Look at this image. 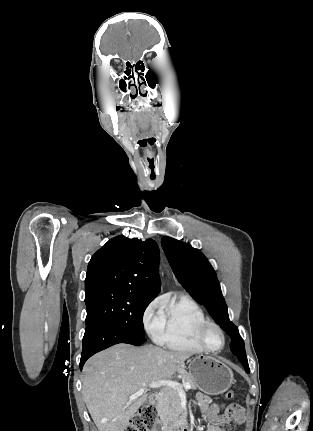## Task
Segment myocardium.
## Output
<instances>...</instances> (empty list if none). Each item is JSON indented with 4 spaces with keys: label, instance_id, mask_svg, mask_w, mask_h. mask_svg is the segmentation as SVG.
I'll return each mask as SVG.
<instances>
[{
    "label": "myocardium",
    "instance_id": "myocardium-1",
    "mask_svg": "<svg viewBox=\"0 0 313 431\" xmlns=\"http://www.w3.org/2000/svg\"><path fill=\"white\" fill-rule=\"evenodd\" d=\"M209 327H214L215 329H217L218 330V332L220 333V335H221V338H222V344H221V346L219 347V348H216V349H213V348H210L207 344H206V342H205V340H204V334H205V331L209 328ZM196 339H197V342H198V344L205 350V351H208V352H219V351H221L223 348H224V346H225V344H226V337H225V333H224V331H223V329L221 328V326L218 324V323H216V322H214V321H212V320H205L200 326H199V328H198V330H197V333H196Z\"/></svg>",
    "mask_w": 313,
    "mask_h": 431
}]
</instances>
